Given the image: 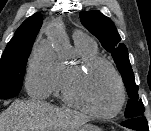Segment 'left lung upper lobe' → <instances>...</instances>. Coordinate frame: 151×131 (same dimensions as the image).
Segmentation results:
<instances>
[{"label": "left lung upper lobe", "mask_w": 151, "mask_h": 131, "mask_svg": "<svg viewBox=\"0 0 151 131\" xmlns=\"http://www.w3.org/2000/svg\"><path fill=\"white\" fill-rule=\"evenodd\" d=\"M79 15L83 26L99 39L102 46L108 52H111L113 60L122 76L130 97L125 110V117L131 119L142 116L145 108L138 95V86L135 83L134 73L128 57V50L121 43V37L113 21L99 11H84L80 12Z\"/></svg>", "instance_id": "obj_1"}]
</instances>
